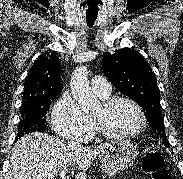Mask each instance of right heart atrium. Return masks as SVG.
I'll list each match as a JSON object with an SVG mask.
<instances>
[{
  "instance_id": "right-heart-atrium-1",
  "label": "right heart atrium",
  "mask_w": 183,
  "mask_h": 179,
  "mask_svg": "<svg viewBox=\"0 0 183 179\" xmlns=\"http://www.w3.org/2000/svg\"><path fill=\"white\" fill-rule=\"evenodd\" d=\"M54 131L62 138L83 140L94 129L92 119L69 94H63L54 104L51 114Z\"/></svg>"
}]
</instances>
